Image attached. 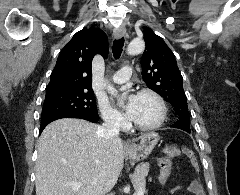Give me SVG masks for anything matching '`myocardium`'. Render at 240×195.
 Instances as JSON below:
<instances>
[{"mask_svg":"<svg viewBox=\"0 0 240 195\" xmlns=\"http://www.w3.org/2000/svg\"><path fill=\"white\" fill-rule=\"evenodd\" d=\"M137 95L138 96L150 95L157 101L158 106H159L158 117L154 122L147 124V125L136 124L129 118V119H126V126L130 127L133 130L139 131V132H150V131L158 129L165 121L166 114H167L166 103H165L163 97L156 91L149 89V88H144V89L140 90Z\"/></svg>","mask_w":240,"mask_h":195,"instance_id":"obj_1","label":"myocardium"}]
</instances>
